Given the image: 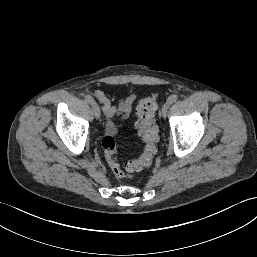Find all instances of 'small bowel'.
<instances>
[{"instance_id":"small-bowel-1","label":"small bowel","mask_w":257,"mask_h":257,"mask_svg":"<svg viewBox=\"0 0 257 257\" xmlns=\"http://www.w3.org/2000/svg\"><path fill=\"white\" fill-rule=\"evenodd\" d=\"M93 94L101 102L103 112L108 118L107 132L114 134L116 131L114 119L117 116L126 117L130 114L135 97L133 95L128 96L122 99L117 106H113L111 105L109 95L106 92L96 89L93 91Z\"/></svg>"}]
</instances>
